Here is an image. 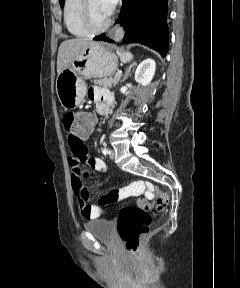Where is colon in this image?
<instances>
[{
	"label": "colon",
	"instance_id": "1",
	"mask_svg": "<svg viewBox=\"0 0 240 288\" xmlns=\"http://www.w3.org/2000/svg\"><path fill=\"white\" fill-rule=\"evenodd\" d=\"M94 118L86 112H68L63 116V127L69 137L80 138L89 134L93 128ZM145 189L153 190L155 193L154 206L157 211L165 209L169 203L168 194L146 182L133 185V192ZM120 199L119 190H111L98 199L100 205L116 202ZM153 203L141 200L138 205L124 207L118 218V231L124 243L126 251L135 254L140 246L141 239L148 232L151 223V209Z\"/></svg>",
	"mask_w": 240,
	"mask_h": 288
}]
</instances>
